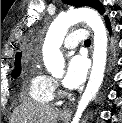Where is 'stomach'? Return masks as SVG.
I'll return each mask as SVG.
<instances>
[{"label":"stomach","instance_id":"1","mask_svg":"<svg viewBox=\"0 0 122 123\" xmlns=\"http://www.w3.org/2000/svg\"><path fill=\"white\" fill-rule=\"evenodd\" d=\"M61 120H62V121H66V118L62 116V117H61Z\"/></svg>","mask_w":122,"mask_h":123}]
</instances>
